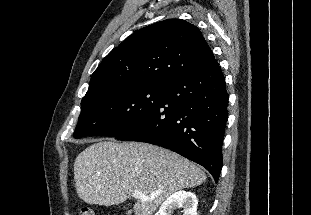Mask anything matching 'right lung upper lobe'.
<instances>
[{
	"mask_svg": "<svg viewBox=\"0 0 311 215\" xmlns=\"http://www.w3.org/2000/svg\"><path fill=\"white\" fill-rule=\"evenodd\" d=\"M216 61L200 30L182 19L142 28L114 48L93 73L86 96L167 81Z\"/></svg>",
	"mask_w": 311,
	"mask_h": 215,
	"instance_id": "cb5924a9",
	"label": "right lung upper lobe"
}]
</instances>
